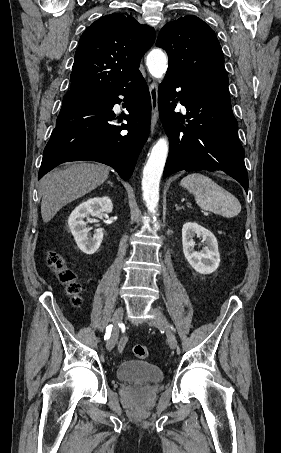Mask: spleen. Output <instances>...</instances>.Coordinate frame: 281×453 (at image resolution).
<instances>
[{"mask_svg":"<svg viewBox=\"0 0 281 453\" xmlns=\"http://www.w3.org/2000/svg\"><path fill=\"white\" fill-rule=\"evenodd\" d=\"M180 184L194 194L198 206L203 210H210L227 218L236 216L241 210V204L234 194L200 172L184 176Z\"/></svg>","mask_w":281,"mask_h":453,"instance_id":"3e777b00","label":"spleen"}]
</instances>
